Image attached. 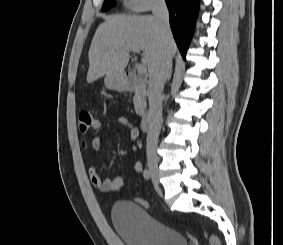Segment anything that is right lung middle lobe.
Returning <instances> with one entry per match:
<instances>
[{"label":"right lung middle lobe","mask_w":283,"mask_h":245,"mask_svg":"<svg viewBox=\"0 0 283 245\" xmlns=\"http://www.w3.org/2000/svg\"><path fill=\"white\" fill-rule=\"evenodd\" d=\"M114 4H115V0H104L102 11L109 10L110 8L113 7Z\"/></svg>","instance_id":"obj_1"}]
</instances>
